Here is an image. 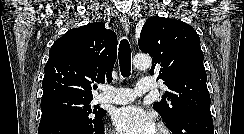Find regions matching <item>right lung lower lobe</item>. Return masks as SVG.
<instances>
[{
  "instance_id": "1",
  "label": "right lung lower lobe",
  "mask_w": 244,
  "mask_h": 134,
  "mask_svg": "<svg viewBox=\"0 0 244 134\" xmlns=\"http://www.w3.org/2000/svg\"><path fill=\"white\" fill-rule=\"evenodd\" d=\"M40 134H104V123L101 120L95 124L69 122L54 124Z\"/></svg>"
}]
</instances>
